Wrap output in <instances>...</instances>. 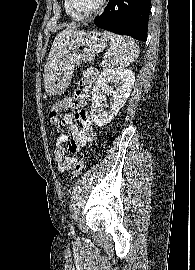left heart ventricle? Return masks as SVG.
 I'll return each mask as SVG.
<instances>
[{
	"label": "left heart ventricle",
	"mask_w": 195,
	"mask_h": 270,
	"mask_svg": "<svg viewBox=\"0 0 195 270\" xmlns=\"http://www.w3.org/2000/svg\"><path fill=\"white\" fill-rule=\"evenodd\" d=\"M99 2L100 0H72L74 9L80 14L92 11Z\"/></svg>",
	"instance_id": "obj_1"
}]
</instances>
